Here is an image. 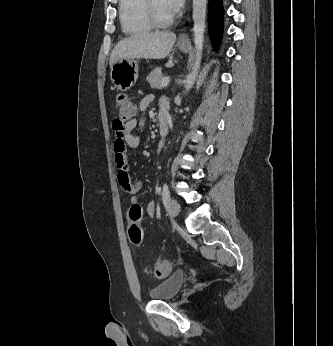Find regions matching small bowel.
I'll list each match as a JSON object with an SVG mask.
<instances>
[{
	"label": "small bowel",
	"instance_id": "c3829d8e",
	"mask_svg": "<svg viewBox=\"0 0 333 346\" xmlns=\"http://www.w3.org/2000/svg\"><path fill=\"white\" fill-rule=\"evenodd\" d=\"M152 96L144 97L139 103V110L141 115L139 117H133L126 122L115 119L113 122L114 131V150H115V162L118 166V182L122 189L131 195V204L139 205L137 194L140 192L142 184L137 181L133 182L130 178V165L127 160L126 148H136L140 144V133L134 134L133 130L138 128L140 132L143 131L145 125V118L143 113L152 102ZM165 116L168 118V111L166 107H162L159 116ZM157 205L155 202H151L144 210V214L147 217H153L156 213Z\"/></svg>",
	"mask_w": 333,
	"mask_h": 346
}]
</instances>
